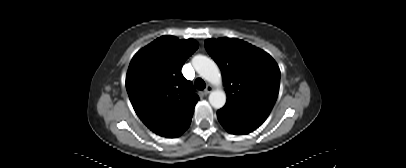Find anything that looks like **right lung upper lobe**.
I'll use <instances>...</instances> for the list:
<instances>
[{"label":"right lung upper lobe","instance_id":"right-lung-upper-lobe-1","mask_svg":"<svg viewBox=\"0 0 406 168\" xmlns=\"http://www.w3.org/2000/svg\"><path fill=\"white\" fill-rule=\"evenodd\" d=\"M198 47L194 39L162 36L131 60L126 76L130 101L139 118L158 135L173 137L192 119L199 97L180 70Z\"/></svg>","mask_w":406,"mask_h":168}]
</instances>
